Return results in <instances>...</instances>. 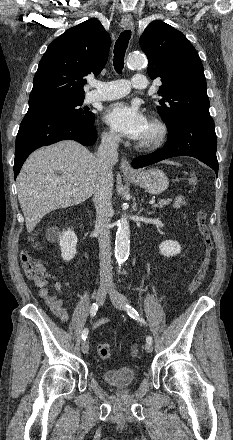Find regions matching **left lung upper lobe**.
Segmentation results:
<instances>
[{
    "label": "left lung upper lobe",
    "instance_id": "5c2ea615",
    "mask_svg": "<svg viewBox=\"0 0 233 440\" xmlns=\"http://www.w3.org/2000/svg\"><path fill=\"white\" fill-rule=\"evenodd\" d=\"M139 42L149 61L150 78H161L157 108L168 133L188 115H210L203 65L187 38L172 26L153 21Z\"/></svg>",
    "mask_w": 233,
    "mask_h": 440
}]
</instances>
